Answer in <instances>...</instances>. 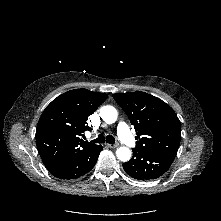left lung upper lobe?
Here are the masks:
<instances>
[{
	"label": "left lung upper lobe",
	"mask_w": 221,
	"mask_h": 221,
	"mask_svg": "<svg viewBox=\"0 0 221 221\" xmlns=\"http://www.w3.org/2000/svg\"><path fill=\"white\" fill-rule=\"evenodd\" d=\"M136 130L137 150L175 158L180 144V121L161 99L135 91L112 95Z\"/></svg>",
	"instance_id": "1"
}]
</instances>
